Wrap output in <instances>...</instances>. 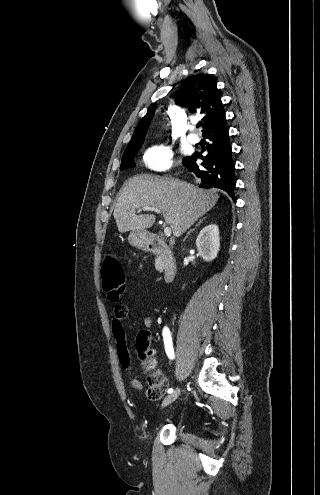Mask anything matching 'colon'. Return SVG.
Returning a JSON list of instances; mask_svg holds the SVG:
<instances>
[{
	"instance_id": "obj_1",
	"label": "colon",
	"mask_w": 320,
	"mask_h": 495,
	"mask_svg": "<svg viewBox=\"0 0 320 495\" xmlns=\"http://www.w3.org/2000/svg\"><path fill=\"white\" fill-rule=\"evenodd\" d=\"M103 287L112 301H116L126 286V278L121 264L115 255H107L102 264ZM122 305H117L116 309ZM149 333L142 331L136 339V350L142 364L146 370H151L155 366L152 359V352L148 348ZM149 387L147 389V398L151 401H156L162 398L166 389L167 382L165 378L157 373H153L148 377Z\"/></svg>"
}]
</instances>
